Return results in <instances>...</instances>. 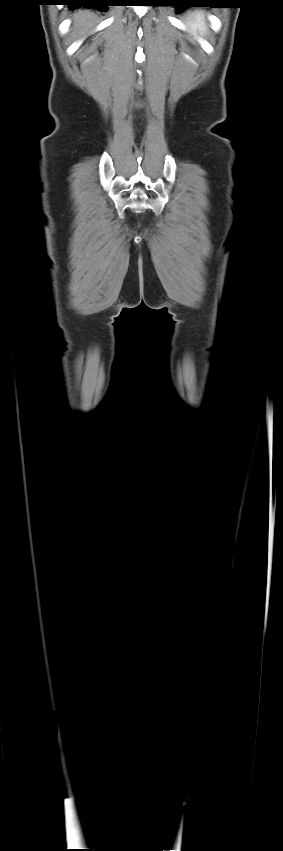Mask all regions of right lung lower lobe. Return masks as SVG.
Masks as SVG:
<instances>
[{"mask_svg": "<svg viewBox=\"0 0 283 851\" xmlns=\"http://www.w3.org/2000/svg\"><path fill=\"white\" fill-rule=\"evenodd\" d=\"M65 2H69V5H92L99 6L100 10L103 9V6H109V0H62Z\"/></svg>", "mask_w": 283, "mask_h": 851, "instance_id": "98d812e1", "label": "right lung lower lobe"}]
</instances>
